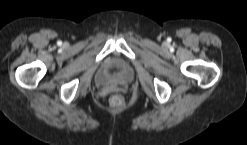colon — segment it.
<instances>
[{
    "instance_id": "1",
    "label": "colon",
    "mask_w": 247,
    "mask_h": 145,
    "mask_svg": "<svg viewBox=\"0 0 247 145\" xmlns=\"http://www.w3.org/2000/svg\"><path fill=\"white\" fill-rule=\"evenodd\" d=\"M110 103L113 107H120L123 105V99L120 96H113Z\"/></svg>"
}]
</instances>
